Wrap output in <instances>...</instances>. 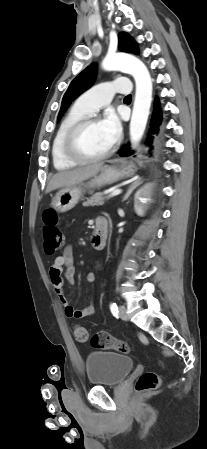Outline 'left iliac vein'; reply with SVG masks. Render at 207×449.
Wrapping results in <instances>:
<instances>
[{
	"label": "left iliac vein",
	"instance_id": "left-iliac-vein-1",
	"mask_svg": "<svg viewBox=\"0 0 207 449\" xmlns=\"http://www.w3.org/2000/svg\"><path fill=\"white\" fill-rule=\"evenodd\" d=\"M119 316L122 320H125V321L128 320V315H127L125 306H120Z\"/></svg>",
	"mask_w": 207,
	"mask_h": 449
}]
</instances>
